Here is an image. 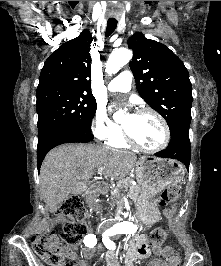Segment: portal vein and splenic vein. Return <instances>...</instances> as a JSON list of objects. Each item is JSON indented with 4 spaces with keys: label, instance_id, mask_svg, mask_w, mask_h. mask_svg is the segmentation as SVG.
<instances>
[{
    "label": "portal vein and splenic vein",
    "instance_id": "obj_1",
    "mask_svg": "<svg viewBox=\"0 0 221 266\" xmlns=\"http://www.w3.org/2000/svg\"><path fill=\"white\" fill-rule=\"evenodd\" d=\"M103 170H104V167H99V168H98V172H99V173L103 172Z\"/></svg>",
    "mask_w": 221,
    "mask_h": 266
}]
</instances>
